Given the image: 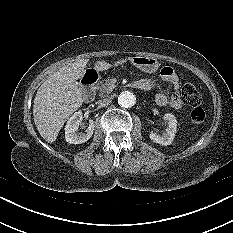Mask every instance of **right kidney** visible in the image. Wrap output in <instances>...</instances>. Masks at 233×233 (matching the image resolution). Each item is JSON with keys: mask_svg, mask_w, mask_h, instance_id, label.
<instances>
[{"mask_svg": "<svg viewBox=\"0 0 233 233\" xmlns=\"http://www.w3.org/2000/svg\"><path fill=\"white\" fill-rule=\"evenodd\" d=\"M83 115L81 111L75 112L68 120L65 126V139L70 144H81L88 141L94 131L95 124L93 120L89 121V125L85 132H78V127L81 124Z\"/></svg>", "mask_w": 233, "mask_h": 233, "instance_id": "ca27d5eb", "label": "right kidney"}]
</instances>
